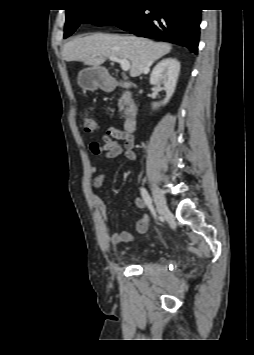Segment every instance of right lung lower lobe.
<instances>
[{
	"label": "right lung lower lobe",
	"instance_id": "right-lung-lower-lobe-1",
	"mask_svg": "<svg viewBox=\"0 0 254 355\" xmlns=\"http://www.w3.org/2000/svg\"><path fill=\"white\" fill-rule=\"evenodd\" d=\"M150 7V13L146 12ZM152 7H165L163 10ZM197 0H163L160 3H140L114 25L146 38H157L182 44L197 53L201 9Z\"/></svg>",
	"mask_w": 254,
	"mask_h": 355
}]
</instances>
